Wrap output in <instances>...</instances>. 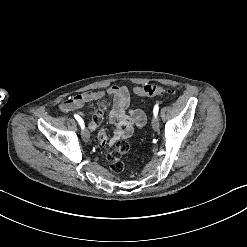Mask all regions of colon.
I'll use <instances>...</instances> for the list:
<instances>
[{
  "mask_svg": "<svg viewBox=\"0 0 247 247\" xmlns=\"http://www.w3.org/2000/svg\"><path fill=\"white\" fill-rule=\"evenodd\" d=\"M174 90L170 87H165L162 85L156 84H143L134 88V93L137 96L145 97V96H156V95H164V94H173Z\"/></svg>",
  "mask_w": 247,
  "mask_h": 247,
  "instance_id": "colon-1",
  "label": "colon"
}]
</instances>
